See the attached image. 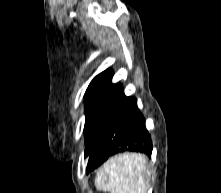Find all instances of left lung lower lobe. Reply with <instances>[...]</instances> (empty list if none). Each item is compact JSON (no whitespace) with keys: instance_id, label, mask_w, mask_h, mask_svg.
<instances>
[{"instance_id":"1","label":"left lung lower lobe","mask_w":221,"mask_h":193,"mask_svg":"<svg viewBox=\"0 0 221 193\" xmlns=\"http://www.w3.org/2000/svg\"><path fill=\"white\" fill-rule=\"evenodd\" d=\"M108 126L89 155L86 172L102 165L111 156L136 151L151 157L152 140L136 99L125 96L122 86L108 113Z\"/></svg>"}]
</instances>
